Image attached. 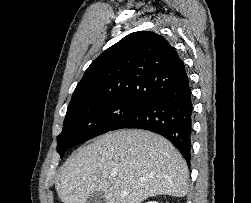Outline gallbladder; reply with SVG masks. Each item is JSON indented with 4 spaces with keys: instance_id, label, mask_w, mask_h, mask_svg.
I'll return each mask as SVG.
<instances>
[{
    "instance_id": "1",
    "label": "gallbladder",
    "mask_w": 251,
    "mask_h": 203,
    "mask_svg": "<svg viewBox=\"0 0 251 203\" xmlns=\"http://www.w3.org/2000/svg\"><path fill=\"white\" fill-rule=\"evenodd\" d=\"M85 203H106L105 196L102 191L92 193Z\"/></svg>"
}]
</instances>
